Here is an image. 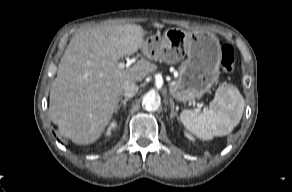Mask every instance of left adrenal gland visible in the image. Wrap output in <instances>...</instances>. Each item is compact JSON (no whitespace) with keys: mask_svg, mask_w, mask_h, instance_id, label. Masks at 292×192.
<instances>
[{"mask_svg":"<svg viewBox=\"0 0 292 192\" xmlns=\"http://www.w3.org/2000/svg\"><path fill=\"white\" fill-rule=\"evenodd\" d=\"M169 104H170V107H171L170 119H172L175 116L178 119L179 116L177 114V111L175 110L174 101L172 100V98H169Z\"/></svg>","mask_w":292,"mask_h":192,"instance_id":"a2214340","label":"left adrenal gland"}]
</instances>
